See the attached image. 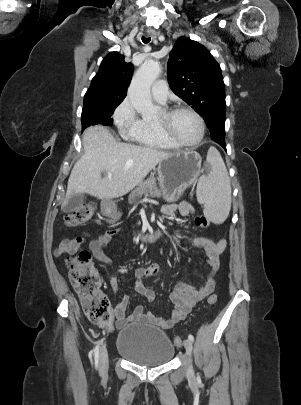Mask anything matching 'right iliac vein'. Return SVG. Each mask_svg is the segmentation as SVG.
<instances>
[{
	"mask_svg": "<svg viewBox=\"0 0 301 405\" xmlns=\"http://www.w3.org/2000/svg\"><path fill=\"white\" fill-rule=\"evenodd\" d=\"M109 360L106 344H104L99 353V370L102 374H105L108 370Z\"/></svg>",
	"mask_w": 301,
	"mask_h": 405,
	"instance_id": "obj_1",
	"label": "right iliac vein"
}]
</instances>
